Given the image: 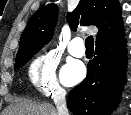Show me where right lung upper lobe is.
Here are the masks:
<instances>
[{"mask_svg":"<svg viewBox=\"0 0 131 115\" xmlns=\"http://www.w3.org/2000/svg\"><path fill=\"white\" fill-rule=\"evenodd\" d=\"M57 15L54 3L44 6L33 14L22 33L16 57L29 50H39L50 41ZM67 21L72 30H75L79 24L95 25L98 28L96 45L124 35L118 0H80L76 9L68 15Z\"/></svg>","mask_w":131,"mask_h":115,"instance_id":"right-lung-upper-lobe-1","label":"right lung upper lobe"}]
</instances>
